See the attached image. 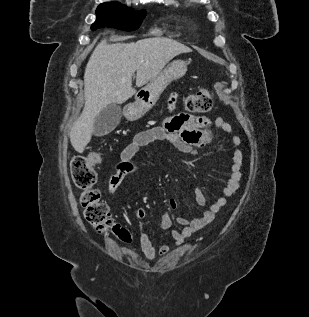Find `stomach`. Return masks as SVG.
I'll return each instance as SVG.
<instances>
[{"instance_id": "1", "label": "stomach", "mask_w": 309, "mask_h": 317, "mask_svg": "<svg viewBox=\"0 0 309 317\" xmlns=\"http://www.w3.org/2000/svg\"><path fill=\"white\" fill-rule=\"evenodd\" d=\"M187 71V62L175 60L148 85L140 89L135 96V102L124 108V116L129 121L141 118L157 102L165 88L175 80L182 78Z\"/></svg>"}]
</instances>
